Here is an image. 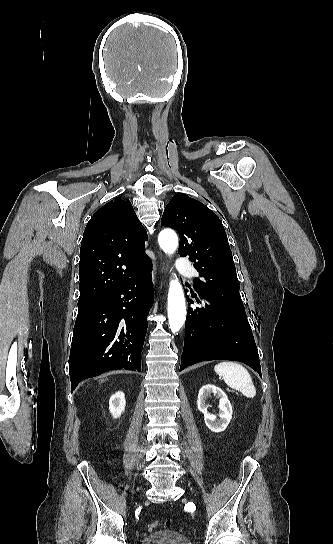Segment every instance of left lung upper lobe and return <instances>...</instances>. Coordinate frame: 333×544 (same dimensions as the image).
Instances as JSON below:
<instances>
[{
    "mask_svg": "<svg viewBox=\"0 0 333 544\" xmlns=\"http://www.w3.org/2000/svg\"><path fill=\"white\" fill-rule=\"evenodd\" d=\"M162 225L180 236L178 253L189 257L201 279L200 296L246 317L239 294L236 269L222 222L208 207L185 194H176L162 216Z\"/></svg>",
    "mask_w": 333,
    "mask_h": 544,
    "instance_id": "1",
    "label": "left lung upper lobe"
}]
</instances>
